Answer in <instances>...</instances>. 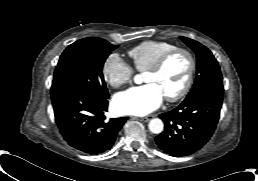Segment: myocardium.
<instances>
[{"mask_svg":"<svg viewBox=\"0 0 258 181\" xmlns=\"http://www.w3.org/2000/svg\"><path fill=\"white\" fill-rule=\"evenodd\" d=\"M176 54H183L187 57V59L189 61V69H188L187 78H186V81H185L183 87L177 93L165 96V98L170 102H175V101H178V100L182 99L183 97H185L188 94V92L193 84L194 75H195V71H196V59H195L193 53L186 48L176 47L170 51H167L163 55H161L155 61V63L146 70V72H151V73L160 72L163 69V67L165 66V64Z\"/></svg>","mask_w":258,"mask_h":181,"instance_id":"1","label":"myocardium"}]
</instances>
